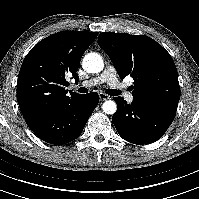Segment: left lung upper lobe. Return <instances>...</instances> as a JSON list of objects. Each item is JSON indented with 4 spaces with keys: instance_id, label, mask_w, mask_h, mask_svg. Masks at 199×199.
Instances as JSON below:
<instances>
[{
    "instance_id": "left-lung-upper-lobe-1",
    "label": "left lung upper lobe",
    "mask_w": 199,
    "mask_h": 199,
    "mask_svg": "<svg viewBox=\"0 0 199 199\" xmlns=\"http://www.w3.org/2000/svg\"><path fill=\"white\" fill-rule=\"evenodd\" d=\"M98 39L120 78L130 75L134 79L135 99L176 112L178 73L172 57L159 43L145 35L114 32H102Z\"/></svg>"
}]
</instances>
